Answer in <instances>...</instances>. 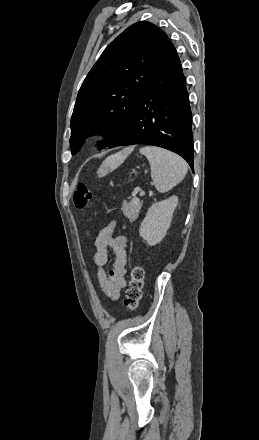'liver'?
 Masks as SVG:
<instances>
[{"label": "liver", "instance_id": "obj_1", "mask_svg": "<svg viewBox=\"0 0 259 440\" xmlns=\"http://www.w3.org/2000/svg\"><path fill=\"white\" fill-rule=\"evenodd\" d=\"M132 149L133 148H127L106 158L98 170L99 176L102 177L109 171L116 169L126 159L127 155L132 151Z\"/></svg>", "mask_w": 259, "mask_h": 440}]
</instances>
